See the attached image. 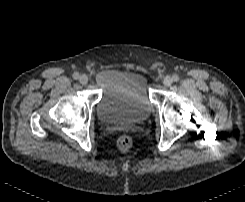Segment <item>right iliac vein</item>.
Returning a JSON list of instances; mask_svg holds the SVG:
<instances>
[{
    "mask_svg": "<svg viewBox=\"0 0 245 202\" xmlns=\"http://www.w3.org/2000/svg\"><path fill=\"white\" fill-rule=\"evenodd\" d=\"M79 82L82 84V85H86L88 83V77L86 75H81L79 77Z\"/></svg>",
    "mask_w": 245,
    "mask_h": 202,
    "instance_id": "1",
    "label": "right iliac vein"
}]
</instances>
